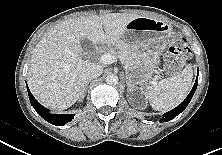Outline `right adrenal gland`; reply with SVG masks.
Listing matches in <instances>:
<instances>
[{
  "label": "right adrenal gland",
  "instance_id": "obj_1",
  "mask_svg": "<svg viewBox=\"0 0 222 155\" xmlns=\"http://www.w3.org/2000/svg\"><path fill=\"white\" fill-rule=\"evenodd\" d=\"M91 80H87L86 83H85V86H84V89H83V93L81 95V98H80V101H82V99H84L85 95H86V91H87V87H88V84L90 83Z\"/></svg>",
  "mask_w": 222,
  "mask_h": 155
}]
</instances>
